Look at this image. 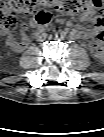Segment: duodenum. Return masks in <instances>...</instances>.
<instances>
[{"label":"duodenum","mask_w":104,"mask_h":137,"mask_svg":"<svg viewBox=\"0 0 104 137\" xmlns=\"http://www.w3.org/2000/svg\"><path fill=\"white\" fill-rule=\"evenodd\" d=\"M41 35V30H37V32L34 34L35 37H38Z\"/></svg>","instance_id":"obj_1"}]
</instances>
